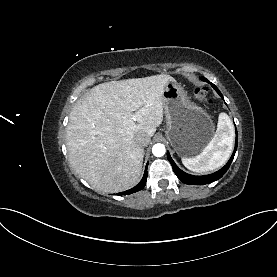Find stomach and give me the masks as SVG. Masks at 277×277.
<instances>
[{
  "label": "stomach",
  "mask_w": 277,
  "mask_h": 277,
  "mask_svg": "<svg viewBox=\"0 0 277 277\" xmlns=\"http://www.w3.org/2000/svg\"><path fill=\"white\" fill-rule=\"evenodd\" d=\"M163 108L166 137L178 156L191 158L201 153L215 133L209 114L192 102L176 81L165 86Z\"/></svg>",
  "instance_id": "1"
}]
</instances>
